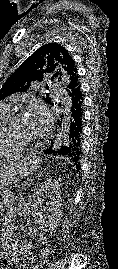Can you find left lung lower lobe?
<instances>
[{
	"mask_svg": "<svg viewBox=\"0 0 118 269\" xmlns=\"http://www.w3.org/2000/svg\"><path fill=\"white\" fill-rule=\"evenodd\" d=\"M81 86H77L68 93V116L65 122V132L57 148L51 145L45 150V154H57L68 157L80 169L81 135H82V114L83 97ZM60 105V104H59ZM63 115H61L62 120ZM61 127V124L59 123Z\"/></svg>",
	"mask_w": 118,
	"mask_h": 269,
	"instance_id": "left-lung-lower-lobe-1",
	"label": "left lung lower lobe"
}]
</instances>
